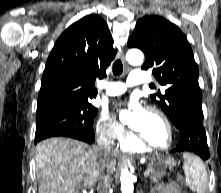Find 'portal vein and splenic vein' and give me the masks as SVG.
Returning a JSON list of instances; mask_svg holds the SVG:
<instances>
[{"label":"portal vein and splenic vein","instance_id":"18ae733b","mask_svg":"<svg viewBox=\"0 0 221 193\" xmlns=\"http://www.w3.org/2000/svg\"><path fill=\"white\" fill-rule=\"evenodd\" d=\"M150 175V171L147 169L145 172H144V176L145 177H148Z\"/></svg>","mask_w":221,"mask_h":193}]
</instances>
